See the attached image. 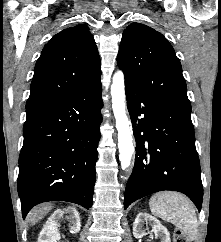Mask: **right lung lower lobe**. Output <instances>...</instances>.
Returning a JSON list of instances; mask_svg holds the SVG:
<instances>
[{"instance_id": "1", "label": "right lung lower lobe", "mask_w": 221, "mask_h": 242, "mask_svg": "<svg viewBox=\"0 0 221 242\" xmlns=\"http://www.w3.org/2000/svg\"><path fill=\"white\" fill-rule=\"evenodd\" d=\"M100 75L60 99L26 107L17 183L23 218L47 201L92 206L103 105Z\"/></svg>"}]
</instances>
